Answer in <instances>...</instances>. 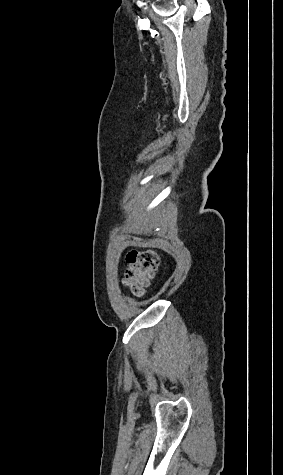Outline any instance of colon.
Here are the masks:
<instances>
[{"mask_svg":"<svg viewBox=\"0 0 283 475\" xmlns=\"http://www.w3.org/2000/svg\"><path fill=\"white\" fill-rule=\"evenodd\" d=\"M128 261L131 266L124 273L123 284L130 288L135 296H141L158 269V254L151 248L133 250L128 254Z\"/></svg>","mask_w":283,"mask_h":475,"instance_id":"1","label":"colon"}]
</instances>
